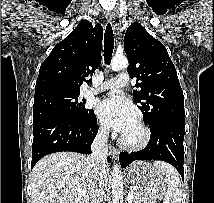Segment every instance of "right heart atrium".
Segmentation results:
<instances>
[{
  "mask_svg": "<svg viewBox=\"0 0 214 203\" xmlns=\"http://www.w3.org/2000/svg\"><path fill=\"white\" fill-rule=\"evenodd\" d=\"M99 133L102 134V135H105L107 133V128L105 125L101 124L99 126Z\"/></svg>",
  "mask_w": 214,
  "mask_h": 203,
  "instance_id": "right-heart-atrium-1",
  "label": "right heart atrium"
}]
</instances>
